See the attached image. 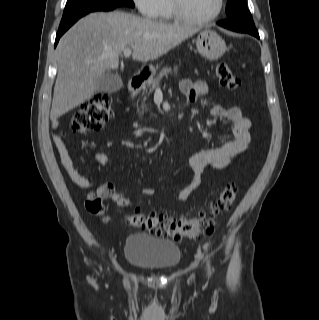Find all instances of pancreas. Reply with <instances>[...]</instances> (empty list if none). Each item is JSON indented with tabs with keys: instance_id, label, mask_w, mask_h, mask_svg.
<instances>
[{
	"instance_id": "1",
	"label": "pancreas",
	"mask_w": 319,
	"mask_h": 320,
	"mask_svg": "<svg viewBox=\"0 0 319 320\" xmlns=\"http://www.w3.org/2000/svg\"><path fill=\"white\" fill-rule=\"evenodd\" d=\"M177 72V67L171 68V67H164L159 75H157L155 78H151L148 80L144 85H143V102H142V113H144V110L146 109V104L145 102L147 101L149 95L157 88L159 85L161 79L163 77H167L171 73H176Z\"/></svg>"
}]
</instances>
